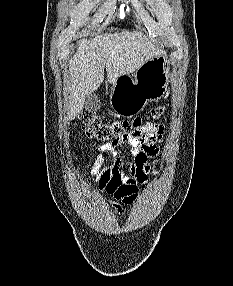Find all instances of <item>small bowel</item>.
<instances>
[{
    "instance_id": "1",
    "label": "small bowel",
    "mask_w": 233,
    "mask_h": 286,
    "mask_svg": "<svg viewBox=\"0 0 233 286\" xmlns=\"http://www.w3.org/2000/svg\"><path fill=\"white\" fill-rule=\"evenodd\" d=\"M164 127L147 123L139 134L102 144L98 149L111 158L108 165L97 160L90 170L100 190L112 197L111 205L117 214L124 213V205L138 196L139 185H144L150 171L149 160L155 158L162 146ZM127 146L131 159L124 161L119 148Z\"/></svg>"
}]
</instances>
